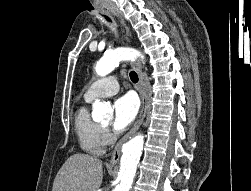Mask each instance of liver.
I'll return each instance as SVG.
<instances>
[{"label":"liver","instance_id":"6515ba94","mask_svg":"<svg viewBox=\"0 0 251 191\" xmlns=\"http://www.w3.org/2000/svg\"><path fill=\"white\" fill-rule=\"evenodd\" d=\"M103 179L101 159L74 153L60 167L52 191H97Z\"/></svg>","mask_w":251,"mask_h":191}]
</instances>
